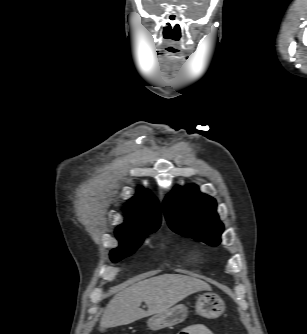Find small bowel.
Here are the masks:
<instances>
[{
	"instance_id": "1",
	"label": "small bowel",
	"mask_w": 307,
	"mask_h": 334,
	"mask_svg": "<svg viewBox=\"0 0 307 334\" xmlns=\"http://www.w3.org/2000/svg\"><path fill=\"white\" fill-rule=\"evenodd\" d=\"M181 334H214L207 326L195 324L183 329Z\"/></svg>"
}]
</instances>
